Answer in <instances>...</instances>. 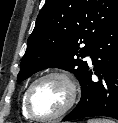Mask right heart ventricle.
<instances>
[{
	"instance_id": "e07e8e85",
	"label": "right heart ventricle",
	"mask_w": 118,
	"mask_h": 123,
	"mask_svg": "<svg viewBox=\"0 0 118 123\" xmlns=\"http://www.w3.org/2000/svg\"><path fill=\"white\" fill-rule=\"evenodd\" d=\"M25 93L23 94L22 100H21V113H22L24 118L31 119V117L28 115L26 108H25Z\"/></svg>"
}]
</instances>
